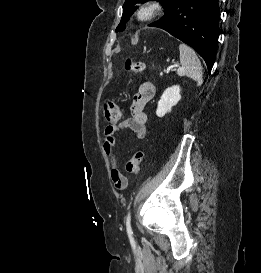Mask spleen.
<instances>
[{
    "label": "spleen",
    "instance_id": "1",
    "mask_svg": "<svg viewBox=\"0 0 261 273\" xmlns=\"http://www.w3.org/2000/svg\"><path fill=\"white\" fill-rule=\"evenodd\" d=\"M181 67L177 70L179 76H187L196 81L197 86L203 83V68L195 51L188 45H179Z\"/></svg>",
    "mask_w": 261,
    "mask_h": 273
}]
</instances>
